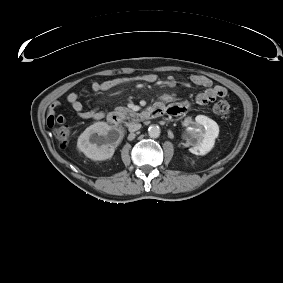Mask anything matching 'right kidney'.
Wrapping results in <instances>:
<instances>
[{"label":"right kidney","instance_id":"ca27d5eb","mask_svg":"<svg viewBox=\"0 0 283 283\" xmlns=\"http://www.w3.org/2000/svg\"><path fill=\"white\" fill-rule=\"evenodd\" d=\"M123 136L121 132L106 122H96L85 129L77 141L78 149L86 157L102 161L110 159Z\"/></svg>","mask_w":283,"mask_h":283}]
</instances>
